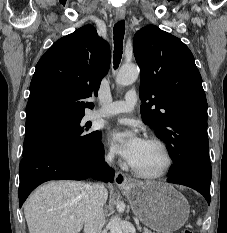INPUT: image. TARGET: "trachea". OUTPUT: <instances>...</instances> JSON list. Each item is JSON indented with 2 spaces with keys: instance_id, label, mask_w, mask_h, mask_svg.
I'll return each mask as SVG.
<instances>
[{
  "instance_id": "1",
  "label": "trachea",
  "mask_w": 227,
  "mask_h": 233,
  "mask_svg": "<svg viewBox=\"0 0 227 233\" xmlns=\"http://www.w3.org/2000/svg\"><path fill=\"white\" fill-rule=\"evenodd\" d=\"M114 56H113V64L114 69L118 68L120 64V60L122 58L123 53V38L125 34V22L123 20L117 22L114 25Z\"/></svg>"
}]
</instances>
